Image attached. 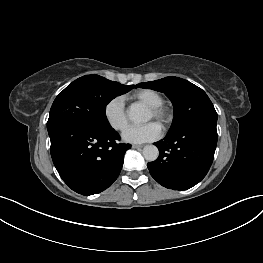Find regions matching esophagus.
<instances>
[{
	"label": "esophagus",
	"mask_w": 263,
	"mask_h": 263,
	"mask_svg": "<svg viewBox=\"0 0 263 263\" xmlns=\"http://www.w3.org/2000/svg\"><path fill=\"white\" fill-rule=\"evenodd\" d=\"M142 147H143V145H136V144L132 145V148H134V149H140Z\"/></svg>",
	"instance_id": "esophagus-1"
}]
</instances>
